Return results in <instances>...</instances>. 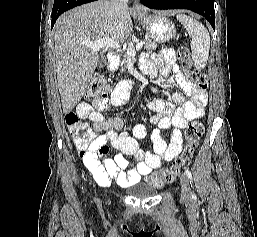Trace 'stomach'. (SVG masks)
<instances>
[{"mask_svg":"<svg viewBox=\"0 0 257 237\" xmlns=\"http://www.w3.org/2000/svg\"><path fill=\"white\" fill-rule=\"evenodd\" d=\"M150 39L158 43L170 41L176 34L175 25L161 13L136 15Z\"/></svg>","mask_w":257,"mask_h":237,"instance_id":"obj_1","label":"stomach"}]
</instances>
